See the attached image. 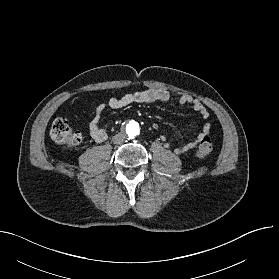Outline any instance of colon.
Masks as SVG:
<instances>
[{
  "label": "colon",
  "instance_id": "5ec220e1",
  "mask_svg": "<svg viewBox=\"0 0 279 279\" xmlns=\"http://www.w3.org/2000/svg\"><path fill=\"white\" fill-rule=\"evenodd\" d=\"M51 139L67 148L79 145L83 140L81 132L71 128L68 120L64 117L57 118L50 129ZM213 149V144L208 136H203L199 142L196 155L198 157L208 156Z\"/></svg>",
  "mask_w": 279,
  "mask_h": 279
}]
</instances>
